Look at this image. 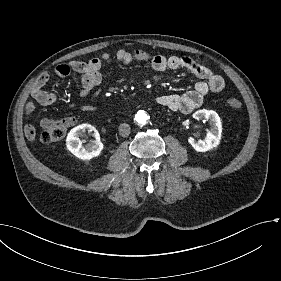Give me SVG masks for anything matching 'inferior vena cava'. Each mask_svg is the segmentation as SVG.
Returning a JSON list of instances; mask_svg holds the SVG:
<instances>
[{
  "mask_svg": "<svg viewBox=\"0 0 281 281\" xmlns=\"http://www.w3.org/2000/svg\"><path fill=\"white\" fill-rule=\"evenodd\" d=\"M119 134L122 137H126L130 134V126L126 123L120 124L119 126Z\"/></svg>",
  "mask_w": 281,
  "mask_h": 281,
  "instance_id": "1",
  "label": "inferior vena cava"
}]
</instances>
